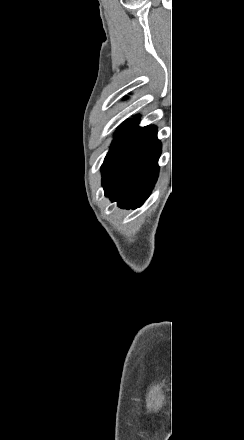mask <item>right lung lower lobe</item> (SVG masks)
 <instances>
[{"mask_svg": "<svg viewBox=\"0 0 244 440\" xmlns=\"http://www.w3.org/2000/svg\"><path fill=\"white\" fill-rule=\"evenodd\" d=\"M138 123L133 118L118 128L101 168L105 195L121 208L141 206L158 178L161 142L157 130Z\"/></svg>", "mask_w": 244, "mask_h": 440, "instance_id": "right-lung-lower-lobe-1", "label": "right lung lower lobe"}]
</instances>
